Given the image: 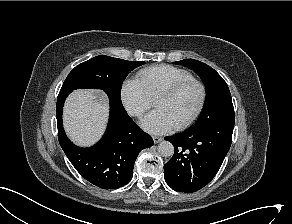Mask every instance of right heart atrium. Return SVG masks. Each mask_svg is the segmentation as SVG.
Returning <instances> with one entry per match:
<instances>
[{
	"instance_id": "d8ad5b80",
	"label": "right heart atrium",
	"mask_w": 292,
	"mask_h": 224,
	"mask_svg": "<svg viewBox=\"0 0 292 224\" xmlns=\"http://www.w3.org/2000/svg\"><path fill=\"white\" fill-rule=\"evenodd\" d=\"M120 97L126 111L134 117H141L153 104V99L137 79L123 82Z\"/></svg>"
}]
</instances>
